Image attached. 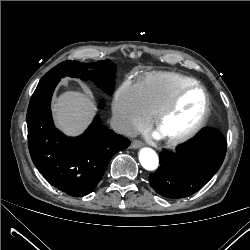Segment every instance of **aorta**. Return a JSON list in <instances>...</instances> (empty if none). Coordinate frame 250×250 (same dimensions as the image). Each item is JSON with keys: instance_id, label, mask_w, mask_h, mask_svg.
Here are the masks:
<instances>
[{"instance_id": "aorta-1", "label": "aorta", "mask_w": 250, "mask_h": 250, "mask_svg": "<svg viewBox=\"0 0 250 250\" xmlns=\"http://www.w3.org/2000/svg\"><path fill=\"white\" fill-rule=\"evenodd\" d=\"M139 160L144 169L152 171L158 167L159 158L151 148H142L139 152Z\"/></svg>"}]
</instances>
